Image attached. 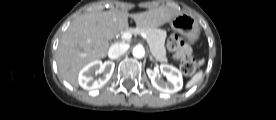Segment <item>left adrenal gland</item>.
<instances>
[{
	"label": "left adrenal gland",
	"mask_w": 276,
	"mask_h": 120,
	"mask_svg": "<svg viewBox=\"0 0 276 120\" xmlns=\"http://www.w3.org/2000/svg\"><path fill=\"white\" fill-rule=\"evenodd\" d=\"M149 59H150L151 61H154V59H153V57H152L151 55H149Z\"/></svg>",
	"instance_id": "left-adrenal-gland-1"
}]
</instances>
